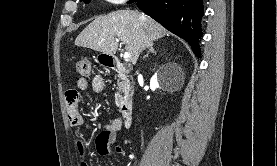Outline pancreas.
Returning a JSON list of instances; mask_svg holds the SVG:
<instances>
[{"label": "pancreas", "instance_id": "pancreas-1", "mask_svg": "<svg viewBox=\"0 0 277 166\" xmlns=\"http://www.w3.org/2000/svg\"><path fill=\"white\" fill-rule=\"evenodd\" d=\"M118 86H119V91L116 93V96H115V102H116V104H120L121 103V101L123 100V96L120 94V91H128L129 90V86H130V84H129V82H126V83H124V82H119L118 83ZM125 96H127V94L125 95Z\"/></svg>", "mask_w": 277, "mask_h": 166}]
</instances>
